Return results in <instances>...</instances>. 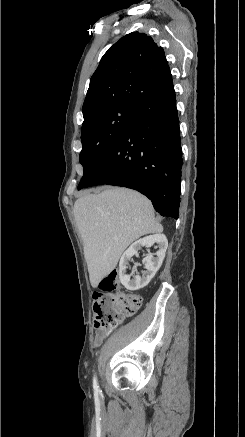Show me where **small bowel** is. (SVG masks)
Instances as JSON below:
<instances>
[{
	"instance_id": "small-bowel-1",
	"label": "small bowel",
	"mask_w": 245,
	"mask_h": 437,
	"mask_svg": "<svg viewBox=\"0 0 245 437\" xmlns=\"http://www.w3.org/2000/svg\"><path fill=\"white\" fill-rule=\"evenodd\" d=\"M106 335H96V340H95V342H96V344H100L101 343V341L103 340V338L105 337Z\"/></svg>"
}]
</instances>
